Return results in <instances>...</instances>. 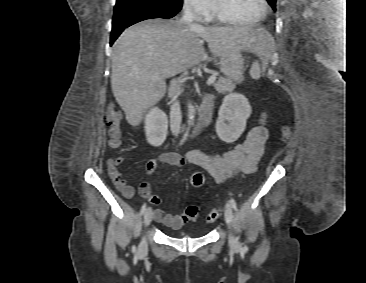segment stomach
<instances>
[{
  "label": "stomach",
  "instance_id": "1",
  "mask_svg": "<svg viewBox=\"0 0 366 283\" xmlns=\"http://www.w3.org/2000/svg\"><path fill=\"white\" fill-rule=\"evenodd\" d=\"M241 50L233 46L232 51L223 52L219 56L220 71L231 80H239L243 69Z\"/></svg>",
  "mask_w": 366,
  "mask_h": 283
}]
</instances>
